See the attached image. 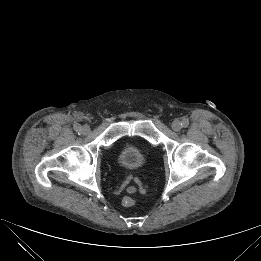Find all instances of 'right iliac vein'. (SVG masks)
<instances>
[{
    "label": "right iliac vein",
    "instance_id": "63e3f726",
    "mask_svg": "<svg viewBox=\"0 0 261 261\" xmlns=\"http://www.w3.org/2000/svg\"><path fill=\"white\" fill-rule=\"evenodd\" d=\"M89 131H90V128H89L88 125H84V126L81 127V132H82L84 135L88 134Z\"/></svg>",
    "mask_w": 261,
    "mask_h": 261
}]
</instances>
